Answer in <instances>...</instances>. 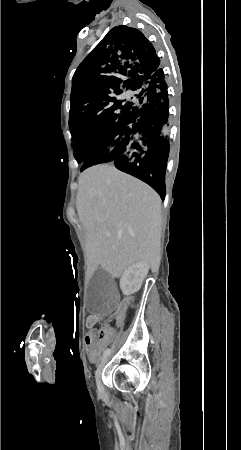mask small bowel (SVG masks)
I'll return each instance as SVG.
<instances>
[{"mask_svg": "<svg viewBox=\"0 0 241 450\" xmlns=\"http://www.w3.org/2000/svg\"><path fill=\"white\" fill-rule=\"evenodd\" d=\"M115 317L117 319H122L124 317V312L122 310H117L115 312ZM117 327L120 325L118 322L115 324ZM110 333V330L108 328H104V327H99L97 329V338L100 341H104L107 338V335ZM95 340V334L93 332H90L86 337H85V344L88 348V355H89V359L92 362H95L98 357L100 356L101 353V348L100 347H94L93 346V342Z\"/></svg>", "mask_w": 241, "mask_h": 450, "instance_id": "small-bowel-1", "label": "small bowel"}]
</instances>
